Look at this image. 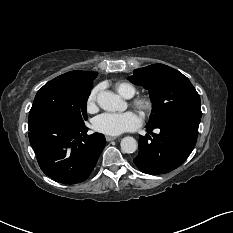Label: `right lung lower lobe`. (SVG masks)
<instances>
[{"label":"right lung lower lobe","mask_w":233,"mask_h":233,"mask_svg":"<svg viewBox=\"0 0 233 233\" xmlns=\"http://www.w3.org/2000/svg\"><path fill=\"white\" fill-rule=\"evenodd\" d=\"M29 140L42 171L63 184L85 181L105 147L100 133L87 135L82 123L43 116L28 123Z\"/></svg>","instance_id":"1"}]
</instances>
